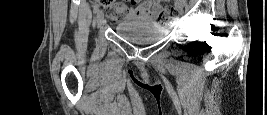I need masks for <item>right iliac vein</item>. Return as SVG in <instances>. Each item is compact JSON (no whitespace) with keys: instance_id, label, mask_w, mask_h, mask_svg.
<instances>
[{"instance_id":"obj_1","label":"right iliac vein","mask_w":267,"mask_h":115,"mask_svg":"<svg viewBox=\"0 0 267 115\" xmlns=\"http://www.w3.org/2000/svg\"><path fill=\"white\" fill-rule=\"evenodd\" d=\"M96 21H97L98 27L100 28L104 21V13L102 10L98 12Z\"/></svg>"}]
</instances>
